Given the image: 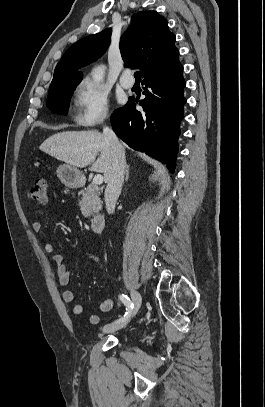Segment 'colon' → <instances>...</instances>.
I'll return each instance as SVG.
<instances>
[{
	"label": "colon",
	"instance_id": "obj_1",
	"mask_svg": "<svg viewBox=\"0 0 265 407\" xmlns=\"http://www.w3.org/2000/svg\"><path fill=\"white\" fill-rule=\"evenodd\" d=\"M30 198L34 201L45 203L48 199L47 181L43 178L36 179L30 189Z\"/></svg>",
	"mask_w": 265,
	"mask_h": 407
}]
</instances>
